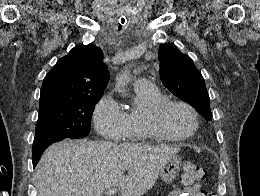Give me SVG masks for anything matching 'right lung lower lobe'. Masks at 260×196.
Listing matches in <instances>:
<instances>
[{
    "instance_id": "98d812e1",
    "label": "right lung lower lobe",
    "mask_w": 260,
    "mask_h": 196,
    "mask_svg": "<svg viewBox=\"0 0 260 196\" xmlns=\"http://www.w3.org/2000/svg\"><path fill=\"white\" fill-rule=\"evenodd\" d=\"M46 149V148H45ZM45 149H37V150H33V165L35 166L37 164V162L39 161L41 154L43 153V151Z\"/></svg>"
}]
</instances>
